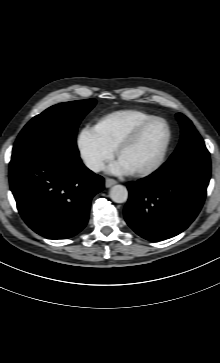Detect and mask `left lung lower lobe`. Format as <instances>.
Segmentation results:
<instances>
[{
	"instance_id": "obj_1",
	"label": "left lung lower lobe",
	"mask_w": 220,
	"mask_h": 363,
	"mask_svg": "<svg viewBox=\"0 0 220 363\" xmlns=\"http://www.w3.org/2000/svg\"><path fill=\"white\" fill-rule=\"evenodd\" d=\"M210 172L209 152L191 150L170 157L150 176L128 183L127 224L150 241L178 235L198 215Z\"/></svg>"
}]
</instances>
